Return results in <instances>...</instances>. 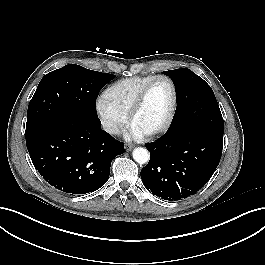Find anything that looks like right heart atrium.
Listing matches in <instances>:
<instances>
[{
	"mask_svg": "<svg viewBox=\"0 0 265 265\" xmlns=\"http://www.w3.org/2000/svg\"><path fill=\"white\" fill-rule=\"evenodd\" d=\"M95 109L103 129L110 135H117L127 123V116L111 107L104 98L96 102Z\"/></svg>",
	"mask_w": 265,
	"mask_h": 265,
	"instance_id": "1",
	"label": "right heart atrium"
}]
</instances>
